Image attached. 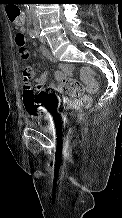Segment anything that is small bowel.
<instances>
[{"label":"small bowel","mask_w":122,"mask_h":218,"mask_svg":"<svg viewBox=\"0 0 122 218\" xmlns=\"http://www.w3.org/2000/svg\"><path fill=\"white\" fill-rule=\"evenodd\" d=\"M22 33H23V31H22ZM41 54L47 60H49L51 62L54 61L52 55L50 54V52L47 49H45V48L41 49ZM28 71L30 73V77L33 78L34 75H35L34 70L33 69H29ZM72 71H73L72 65L66 64V63H60L58 65V70H57V72L55 74L57 82L51 81L50 84H49V87L51 89L57 91V92H61L62 91V82L65 79H68L72 75ZM48 74L49 73L47 71H45L39 78H36V82L40 86H42L46 82ZM95 85L97 87V83L96 82H95ZM49 95H50V93L47 90H45L44 88H40L38 90V93L35 94L34 101H35L37 109L39 110L38 113H43L44 112V107L48 104ZM23 99H24V96H23ZM64 101L66 103H68V104H72L73 103L69 99H64Z\"/></svg>","instance_id":"c3829d8e"}]
</instances>
